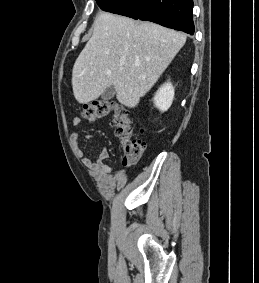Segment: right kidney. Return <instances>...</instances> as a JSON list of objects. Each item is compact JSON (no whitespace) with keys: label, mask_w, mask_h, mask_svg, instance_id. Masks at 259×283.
I'll return each mask as SVG.
<instances>
[{"label":"right kidney","mask_w":259,"mask_h":283,"mask_svg":"<svg viewBox=\"0 0 259 283\" xmlns=\"http://www.w3.org/2000/svg\"><path fill=\"white\" fill-rule=\"evenodd\" d=\"M174 99V87L170 82L163 84L154 96V104L161 111H167Z\"/></svg>","instance_id":"obj_1"}]
</instances>
